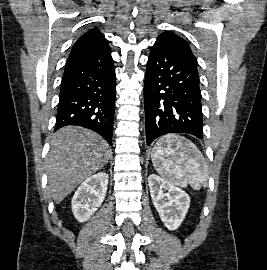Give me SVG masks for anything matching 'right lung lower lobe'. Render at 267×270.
Returning a JSON list of instances; mask_svg holds the SVG:
<instances>
[{
    "label": "right lung lower lobe",
    "mask_w": 267,
    "mask_h": 270,
    "mask_svg": "<svg viewBox=\"0 0 267 270\" xmlns=\"http://www.w3.org/2000/svg\"><path fill=\"white\" fill-rule=\"evenodd\" d=\"M115 70L107 44L69 57L59 94L55 130L76 125L112 144Z\"/></svg>",
    "instance_id": "obj_1"
}]
</instances>
